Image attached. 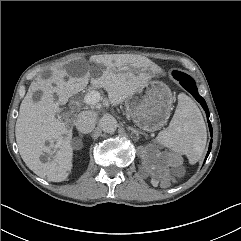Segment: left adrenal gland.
I'll list each match as a JSON object with an SVG mask.
<instances>
[{"mask_svg": "<svg viewBox=\"0 0 241 241\" xmlns=\"http://www.w3.org/2000/svg\"><path fill=\"white\" fill-rule=\"evenodd\" d=\"M127 129H128V130H131V132L136 135V137L134 138L135 140H138V139H139V134H140V132H139L138 130H136V129H134L133 127H130V126H128Z\"/></svg>", "mask_w": 241, "mask_h": 241, "instance_id": "left-adrenal-gland-1", "label": "left adrenal gland"}]
</instances>
